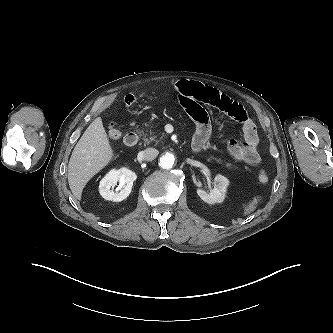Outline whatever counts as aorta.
Returning a JSON list of instances; mask_svg holds the SVG:
<instances>
[{"instance_id": "aorta-1", "label": "aorta", "mask_w": 333, "mask_h": 333, "mask_svg": "<svg viewBox=\"0 0 333 333\" xmlns=\"http://www.w3.org/2000/svg\"><path fill=\"white\" fill-rule=\"evenodd\" d=\"M175 157L172 153L166 152L164 153L160 160H159V166L163 169H170L174 165Z\"/></svg>"}]
</instances>
